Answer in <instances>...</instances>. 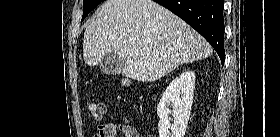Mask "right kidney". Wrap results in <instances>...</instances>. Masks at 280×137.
<instances>
[{"label": "right kidney", "mask_w": 280, "mask_h": 137, "mask_svg": "<svg viewBox=\"0 0 280 137\" xmlns=\"http://www.w3.org/2000/svg\"><path fill=\"white\" fill-rule=\"evenodd\" d=\"M194 87L195 73L188 70L176 77L164 91L157 107V114L160 117L158 123L160 137H184L190 118ZM169 105L173 106L174 123L172 125L169 118L171 113Z\"/></svg>", "instance_id": "obj_1"}]
</instances>
